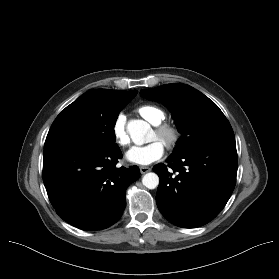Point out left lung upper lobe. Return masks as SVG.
Segmentation results:
<instances>
[{
    "label": "left lung upper lobe",
    "instance_id": "left-lung-upper-lobe-1",
    "mask_svg": "<svg viewBox=\"0 0 279 279\" xmlns=\"http://www.w3.org/2000/svg\"><path fill=\"white\" fill-rule=\"evenodd\" d=\"M140 94L162 102L171 112L182 134L173 156L213 143H235L232 127L219 107L203 93L181 83L141 90Z\"/></svg>",
    "mask_w": 279,
    "mask_h": 279
}]
</instances>
